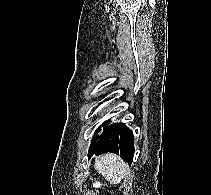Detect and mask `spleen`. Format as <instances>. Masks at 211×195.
Instances as JSON below:
<instances>
[{
    "mask_svg": "<svg viewBox=\"0 0 211 195\" xmlns=\"http://www.w3.org/2000/svg\"><path fill=\"white\" fill-rule=\"evenodd\" d=\"M95 168L113 184L120 183L129 173L128 165L115 154H106L96 160Z\"/></svg>",
    "mask_w": 211,
    "mask_h": 195,
    "instance_id": "3e777b00",
    "label": "spleen"
}]
</instances>
